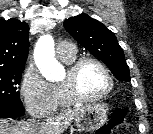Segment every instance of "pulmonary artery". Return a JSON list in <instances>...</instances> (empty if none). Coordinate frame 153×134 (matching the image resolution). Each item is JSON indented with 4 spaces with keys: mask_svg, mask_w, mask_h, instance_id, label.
Segmentation results:
<instances>
[{
    "mask_svg": "<svg viewBox=\"0 0 153 134\" xmlns=\"http://www.w3.org/2000/svg\"><path fill=\"white\" fill-rule=\"evenodd\" d=\"M56 53L60 58H67L75 55V46L68 41H62L57 45Z\"/></svg>",
    "mask_w": 153,
    "mask_h": 134,
    "instance_id": "1",
    "label": "pulmonary artery"
}]
</instances>
